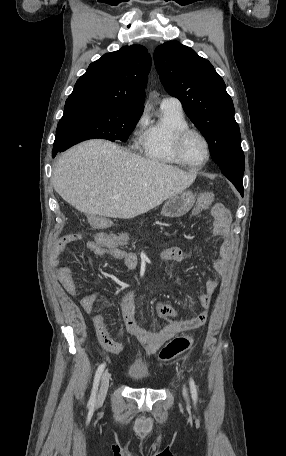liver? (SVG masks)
<instances>
[{
  "label": "liver",
  "mask_w": 286,
  "mask_h": 456,
  "mask_svg": "<svg viewBox=\"0 0 286 456\" xmlns=\"http://www.w3.org/2000/svg\"><path fill=\"white\" fill-rule=\"evenodd\" d=\"M196 176L114 143L90 140L58 159L52 182L65 201L85 214L129 219L183 192Z\"/></svg>",
  "instance_id": "1"
}]
</instances>
